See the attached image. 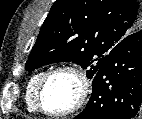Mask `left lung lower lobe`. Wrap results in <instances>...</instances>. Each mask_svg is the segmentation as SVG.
<instances>
[{
    "mask_svg": "<svg viewBox=\"0 0 142 119\" xmlns=\"http://www.w3.org/2000/svg\"><path fill=\"white\" fill-rule=\"evenodd\" d=\"M93 78L91 98L76 119L141 117L142 30L115 45Z\"/></svg>",
    "mask_w": 142,
    "mask_h": 119,
    "instance_id": "0a47b994",
    "label": "left lung lower lobe"
}]
</instances>
